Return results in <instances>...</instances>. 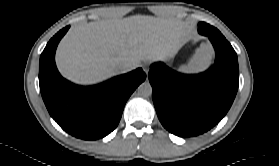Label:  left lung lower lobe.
I'll return each instance as SVG.
<instances>
[{"label": "left lung lower lobe", "mask_w": 279, "mask_h": 166, "mask_svg": "<svg viewBox=\"0 0 279 166\" xmlns=\"http://www.w3.org/2000/svg\"><path fill=\"white\" fill-rule=\"evenodd\" d=\"M198 32L210 39L216 51L209 72L186 75L159 62L148 75L161 124L180 137L196 136L215 126L231 107L239 84L238 59L231 44L205 22L198 24Z\"/></svg>", "instance_id": "1"}]
</instances>
